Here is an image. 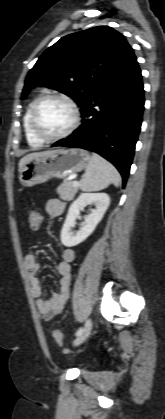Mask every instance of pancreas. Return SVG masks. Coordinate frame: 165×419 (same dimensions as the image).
<instances>
[{"mask_svg":"<svg viewBox=\"0 0 165 419\" xmlns=\"http://www.w3.org/2000/svg\"><path fill=\"white\" fill-rule=\"evenodd\" d=\"M78 192V186H73L72 181H64L57 188L59 197L65 201H71Z\"/></svg>","mask_w":165,"mask_h":419,"instance_id":"cf45deb5","label":"pancreas"}]
</instances>
